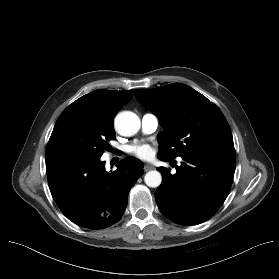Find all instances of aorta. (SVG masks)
I'll return each instance as SVG.
<instances>
[{
  "mask_svg": "<svg viewBox=\"0 0 279 279\" xmlns=\"http://www.w3.org/2000/svg\"><path fill=\"white\" fill-rule=\"evenodd\" d=\"M116 131L126 137L135 135L140 129L139 117L130 111H123L117 114L114 120ZM144 182L147 186L156 188L162 182V176L159 171L152 170L146 173L144 176Z\"/></svg>",
  "mask_w": 279,
  "mask_h": 279,
  "instance_id": "762f6f07",
  "label": "aorta"
}]
</instances>
